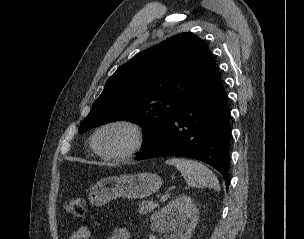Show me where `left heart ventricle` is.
<instances>
[{"label": "left heart ventricle", "mask_w": 304, "mask_h": 239, "mask_svg": "<svg viewBox=\"0 0 304 239\" xmlns=\"http://www.w3.org/2000/svg\"><path fill=\"white\" fill-rule=\"evenodd\" d=\"M131 141V133L127 129L112 127L99 134L97 145L103 152L113 154L125 150Z\"/></svg>", "instance_id": "1"}]
</instances>
